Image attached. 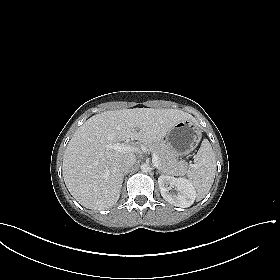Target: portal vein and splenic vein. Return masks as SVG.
<instances>
[{
	"mask_svg": "<svg viewBox=\"0 0 280 280\" xmlns=\"http://www.w3.org/2000/svg\"><path fill=\"white\" fill-rule=\"evenodd\" d=\"M105 147L107 149H113L117 152H140L135 147L128 145V144H122V143H115V144H105ZM152 162L155 167L160 169L159 162H158V156L156 153H153L152 155Z\"/></svg>",
	"mask_w": 280,
	"mask_h": 280,
	"instance_id": "portal-vein-and-splenic-vein-1",
	"label": "portal vein and splenic vein"
}]
</instances>
